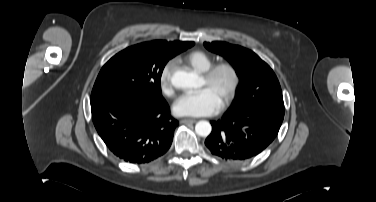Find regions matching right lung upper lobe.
Masks as SVG:
<instances>
[{
	"label": "right lung upper lobe",
	"mask_w": 376,
	"mask_h": 202,
	"mask_svg": "<svg viewBox=\"0 0 376 202\" xmlns=\"http://www.w3.org/2000/svg\"><path fill=\"white\" fill-rule=\"evenodd\" d=\"M179 43L181 42L180 41L167 42V41H162V40H156V41L146 42L142 44L147 45L152 52L158 53V52L163 51L165 48L169 46H176Z\"/></svg>",
	"instance_id": "cb5924a9"
}]
</instances>
